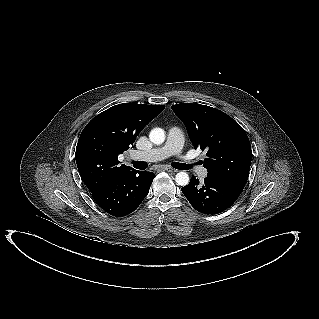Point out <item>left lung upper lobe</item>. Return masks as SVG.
Returning <instances> with one entry per match:
<instances>
[{"label":"left lung upper lobe","instance_id":"5c2ea615","mask_svg":"<svg viewBox=\"0 0 319 319\" xmlns=\"http://www.w3.org/2000/svg\"><path fill=\"white\" fill-rule=\"evenodd\" d=\"M184 122L194 147L206 150L207 177L242 191L252 160L249 138L244 129L224 112L201 104L171 106Z\"/></svg>","mask_w":319,"mask_h":319}]
</instances>
